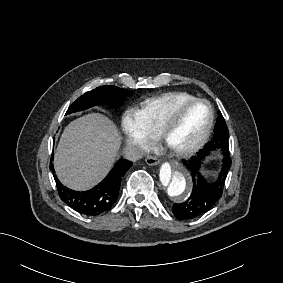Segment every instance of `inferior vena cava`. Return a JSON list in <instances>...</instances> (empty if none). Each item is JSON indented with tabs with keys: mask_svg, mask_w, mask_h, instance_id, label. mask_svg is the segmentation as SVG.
<instances>
[{
	"mask_svg": "<svg viewBox=\"0 0 283 283\" xmlns=\"http://www.w3.org/2000/svg\"><path fill=\"white\" fill-rule=\"evenodd\" d=\"M144 155L143 149L139 145H127L123 150V156L129 161H137Z\"/></svg>",
	"mask_w": 283,
	"mask_h": 283,
	"instance_id": "obj_1",
	"label": "inferior vena cava"
}]
</instances>
